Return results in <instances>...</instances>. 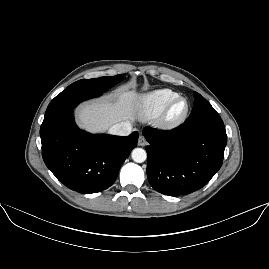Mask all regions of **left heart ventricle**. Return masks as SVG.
Segmentation results:
<instances>
[{
	"label": "left heart ventricle",
	"mask_w": 269,
	"mask_h": 269,
	"mask_svg": "<svg viewBox=\"0 0 269 269\" xmlns=\"http://www.w3.org/2000/svg\"><path fill=\"white\" fill-rule=\"evenodd\" d=\"M184 107H185V102L179 101L174 108V113L175 114L181 113L183 111Z\"/></svg>",
	"instance_id": "obj_1"
}]
</instances>
